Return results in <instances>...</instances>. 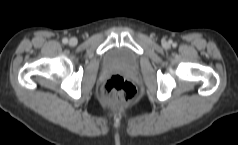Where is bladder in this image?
Masks as SVG:
<instances>
[{"instance_id": "bladder-1", "label": "bladder", "mask_w": 238, "mask_h": 145, "mask_svg": "<svg viewBox=\"0 0 238 145\" xmlns=\"http://www.w3.org/2000/svg\"><path fill=\"white\" fill-rule=\"evenodd\" d=\"M104 63L108 67L132 70L137 67L138 58L128 48L113 47L105 53Z\"/></svg>"}]
</instances>
